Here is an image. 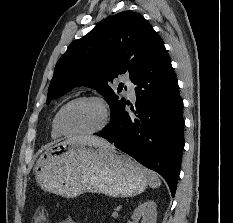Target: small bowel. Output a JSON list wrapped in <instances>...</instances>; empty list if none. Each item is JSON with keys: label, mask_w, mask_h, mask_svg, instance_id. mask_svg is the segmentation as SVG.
<instances>
[{"label": "small bowel", "mask_w": 233, "mask_h": 223, "mask_svg": "<svg viewBox=\"0 0 233 223\" xmlns=\"http://www.w3.org/2000/svg\"><path fill=\"white\" fill-rule=\"evenodd\" d=\"M60 223H80L78 220L72 218V217H66Z\"/></svg>", "instance_id": "1"}]
</instances>
